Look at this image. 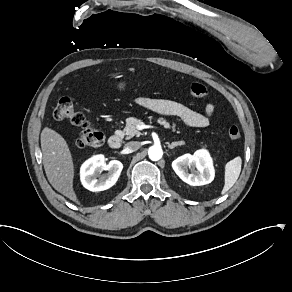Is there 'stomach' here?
<instances>
[{"instance_id":"obj_1","label":"stomach","mask_w":292,"mask_h":292,"mask_svg":"<svg viewBox=\"0 0 292 292\" xmlns=\"http://www.w3.org/2000/svg\"><path fill=\"white\" fill-rule=\"evenodd\" d=\"M124 87H125V83H124V82H120V83L118 84V88H119L120 90H123Z\"/></svg>"}]
</instances>
